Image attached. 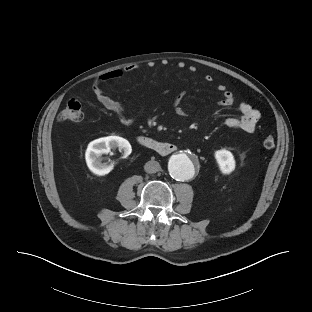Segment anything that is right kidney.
Instances as JSON below:
<instances>
[{"label": "right kidney", "instance_id": "ca27d5eb", "mask_svg": "<svg viewBox=\"0 0 312 312\" xmlns=\"http://www.w3.org/2000/svg\"><path fill=\"white\" fill-rule=\"evenodd\" d=\"M114 148H118L120 152H123L125 157L132 151L129 141L119 136L103 137L89 143L85 153V159L92 173L98 176H104L110 172L111 167L101 162V156Z\"/></svg>", "mask_w": 312, "mask_h": 312}]
</instances>
